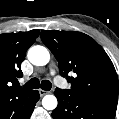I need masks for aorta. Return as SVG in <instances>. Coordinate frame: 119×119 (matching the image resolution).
<instances>
[{"instance_id":"obj_1","label":"aorta","mask_w":119,"mask_h":119,"mask_svg":"<svg viewBox=\"0 0 119 119\" xmlns=\"http://www.w3.org/2000/svg\"><path fill=\"white\" fill-rule=\"evenodd\" d=\"M29 61L36 66H44L50 60V54L47 48L36 45L28 51ZM42 105L47 110H54L57 107V99L54 95H46L42 99Z\"/></svg>"}]
</instances>
